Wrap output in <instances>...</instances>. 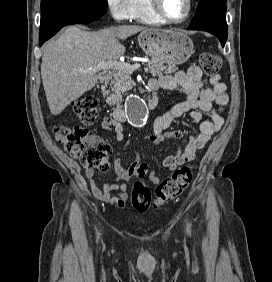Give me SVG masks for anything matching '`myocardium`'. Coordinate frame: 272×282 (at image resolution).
Wrapping results in <instances>:
<instances>
[{
    "instance_id": "obj_1",
    "label": "myocardium",
    "mask_w": 272,
    "mask_h": 282,
    "mask_svg": "<svg viewBox=\"0 0 272 282\" xmlns=\"http://www.w3.org/2000/svg\"><path fill=\"white\" fill-rule=\"evenodd\" d=\"M187 2V11L186 14L179 19H174L169 17L164 9L161 6L160 0H148V8L152 13H154L158 18L163 20L166 23L180 24L185 22L192 14L193 2L192 0H186Z\"/></svg>"
}]
</instances>
